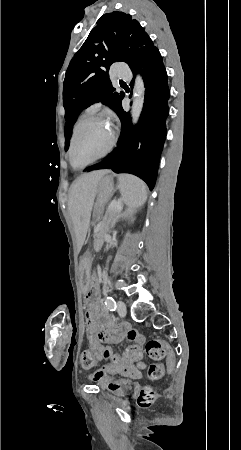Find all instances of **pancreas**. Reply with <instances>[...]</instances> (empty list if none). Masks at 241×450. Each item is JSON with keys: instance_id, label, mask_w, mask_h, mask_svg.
<instances>
[{"instance_id": "obj_1", "label": "pancreas", "mask_w": 241, "mask_h": 450, "mask_svg": "<svg viewBox=\"0 0 241 450\" xmlns=\"http://www.w3.org/2000/svg\"><path fill=\"white\" fill-rule=\"evenodd\" d=\"M115 218H117V214L112 213V212H107V216H105V218L103 220L104 226H106V227L102 226V227L97 228V231H98L97 236L93 239L94 240L93 246H92L93 250H95V251L100 250L101 244L104 243L105 241L107 242L109 240L107 237L105 238L103 236L104 235L103 233L106 232V230H107L106 228H108V230H109V228H110L111 224H113V220H115Z\"/></svg>"}]
</instances>
